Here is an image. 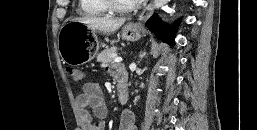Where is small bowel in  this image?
I'll list each match as a JSON object with an SVG mask.
<instances>
[{
  "label": "small bowel",
  "mask_w": 257,
  "mask_h": 130,
  "mask_svg": "<svg viewBox=\"0 0 257 130\" xmlns=\"http://www.w3.org/2000/svg\"><path fill=\"white\" fill-rule=\"evenodd\" d=\"M109 70L118 80L123 79L126 81V74L122 68L109 67ZM76 102L82 130H104L108 110L99 85L96 83H86ZM118 130H136L135 117L132 112L125 111L122 114Z\"/></svg>",
  "instance_id": "small-bowel-1"
}]
</instances>
